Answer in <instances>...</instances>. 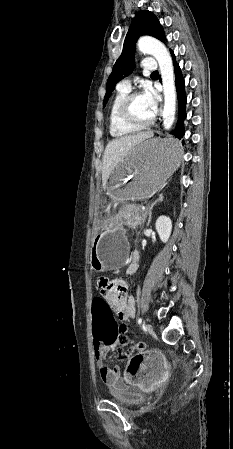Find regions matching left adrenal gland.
Returning a JSON list of instances; mask_svg holds the SVG:
<instances>
[{
  "label": "left adrenal gland",
  "instance_id": "obj_1",
  "mask_svg": "<svg viewBox=\"0 0 233 449\" xmlns=\"http://www.w3.org/2000/svg\"><path fill=\"white\" fill-rule=\"evenodd\" d=\"M162 201H163V196L160 195L159 198H158L155 202H153L150 206L147 207V209H146V211H145V212L149 215L147 226H148V225L150 224V222H151V218H152V209H153V207H154L158 202H162Z\"/></svg>",
  "mask_w": 233,
  "mask_h": 449
}]
</instances>
